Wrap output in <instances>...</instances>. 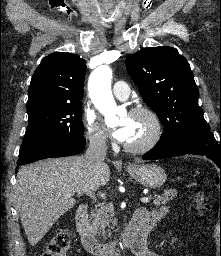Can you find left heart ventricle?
Instances as JSON below:
<instances>
[{
    "label": "left heart ventricle",
    "mask_w": 221,
    "mask_h": 256,
    "mask_svg": "<svg viewBox=\"0 0 221 256\" xmlns=\"http://www.w3.org/2000/svg\"><path fill=\"white\" fill-rule=\"evenodd\" d=\"M125 121H129L132 126V132L127 143L139 144L150 136L152 127L147 117L142 115L130 116L122 119V123Z\"/></svg>",
    "instance_id": "1"
}]
</instances>
